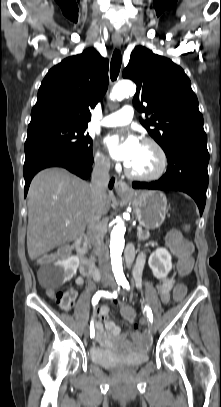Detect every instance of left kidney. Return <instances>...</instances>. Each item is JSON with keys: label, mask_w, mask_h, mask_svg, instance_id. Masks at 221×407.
Masks as SVG:
<instances>
[{"label": "left kidney", "mask_w": 221, "mask_h": 407, "mask_svg": "<svg viewBox=\"0 0 221 407\" xmlns=\"http://www.w3.org/2000/svg\"><path fill=\"white\" fill-rule=\"evenodd\" d=\"M148 264L157 279H165L172 269L171 255L165 248H158L150 255Z\"/></svg>", "instance_id": "1"}]
</instances>
